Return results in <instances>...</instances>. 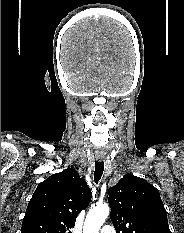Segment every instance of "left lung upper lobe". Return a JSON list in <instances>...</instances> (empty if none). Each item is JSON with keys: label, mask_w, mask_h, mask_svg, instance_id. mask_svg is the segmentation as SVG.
<instances>
[{"label": "left lung upper lobe", "mask_w": 184, "mask_h": 233, "mask_svg": "<svg viewBox=\"0 0 184 233\" xmlns=\"http://www.w3.org/2000/svg\"><path fill=\"white\" fill-rule=\"evenodd\" d=\"M108 195L117 233H171L159 191L146 180L126 174Z\"/></svg>", "instance_id": "left-lung-upper-lobe-1"}]
</instances>
